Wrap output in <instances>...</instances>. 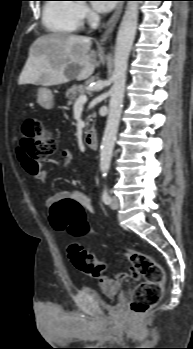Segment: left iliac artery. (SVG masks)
Listing matches in <instances>:
<instances>
[{
    "instance_id": "1",
    "label": "left iliac artery",
    "mask_w": 193,
    "mask_h": 349,
    "mask_svg": "<svg viewBox=\"0 0 193 349\" xmlns=\"http://www.w3.org/2000/svg\"><path fill=\"white\" fill-rule=\"evenodd\" d=\"M102 200L107 205L110 204V202H111V199H110V196L108 194L106 187L104 188L103 193H102Z\"/></svg>"
}]
</instances>
